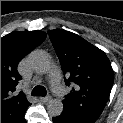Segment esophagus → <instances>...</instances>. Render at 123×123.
I'll list each match as a JSON object with an SVG mask.
<instances>
[{
	"label": "esophagus",
	"instance_id": "obj_1",
	"mask_svg": "<svg viewBox=\"0 0 123 123\" xmlns=\"http://www.w3.org/2000/svg\"><path fill=\"white\" fill-rule=\"evenodd\" d=\"M52 97L51 96H45V97H40L39 100L43 103L51 101Z\"/></svg>",
	"mask_w": 123,
	"mask_h": 123
}]
</instances>
